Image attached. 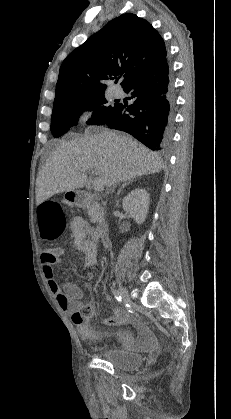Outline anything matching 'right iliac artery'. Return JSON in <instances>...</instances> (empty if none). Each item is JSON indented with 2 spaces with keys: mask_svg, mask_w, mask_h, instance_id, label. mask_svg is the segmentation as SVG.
Masks as SVG:
<instances>
[{
  "mask_svg": "<svg viewBox=\"0 0 231 419\" xmlns=\"http://www.w3.org/2000/svg\"><path fill=\"white\" fill-rule=\"evenodd\" d=\"M112 294H113L114 298H115L118 302H121V301H122V298H121V296H120V294H119V292H118V291H116V290H113V289H112Z\"/></svg>",
  "mask_w": 231,
  "mask_h": 419,
  "instance_id": "1",
  "label": "right iliac artery"
}]
</instances>
